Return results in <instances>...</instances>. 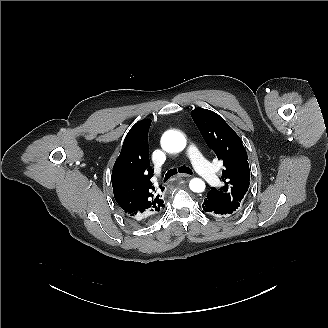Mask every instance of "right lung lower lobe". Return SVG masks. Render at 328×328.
Masks as SVG:
<instances>
[{
    "mask_svg": "<svg viewBox=\"0 0 328 328\" xmlns=\"http://www.w3.org/2000/svg\"><path fill=\"white\" fill-rule=\"evenodd\" d=\"M124 216H125L128 220H130V221H132V222H135L134 219H131L129 216H127V215H125V214H124Z\"/></svg>",
    "mask_w": 328,
    "mask_h": 328,
    "instance_id": "1",
    "label": "right lung lower lobe"
}]
</instances>
